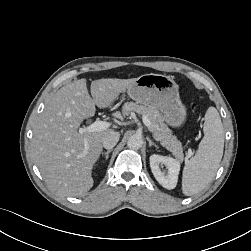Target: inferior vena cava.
Here are the masks:
<instances>
[{"label": "inferior vena cava", "instance_id": "1", "mask_svg": "<svg viewBox=\"0 0 251 251\" xmlns=\"http://www.w3.org/2000/svg\"><path fill=\"white\" fill-rule=\"evenodd\" d=\"M119 132H112L103 139V147L106 149H112L119 141Z\"/></svg>", "mask_w": 251, "mask_h": 251}]
</instances>
